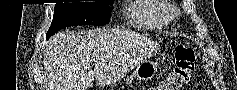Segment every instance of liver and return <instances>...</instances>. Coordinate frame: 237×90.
<instances>
[{
  "instance_id": "liver-1",
  "label": "liver",
  "mask_w": 237,
  "mask_h": 90,
  "mask_svg": "<svg viewBox=\"0 0 237 90\" xmlns=\"http://www.w3.org/2000/svg\"><path fill=\"white\" fill-rule=\"evenodd\" d=\"M117 40L111 30L58 32L50 38L44 54L46 90H89L95 74L113 72L117 62Z\"/></svg>"
}]
</instances>
